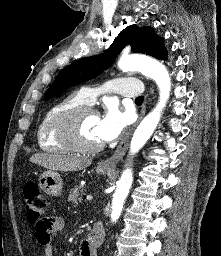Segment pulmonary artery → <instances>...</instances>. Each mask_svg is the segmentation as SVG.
<instances>
[{"instance_id":"e3ab8cb5","label":"pulmonary artery","mask_w":221,"mask_h":256,"mask_svg":"<svg viewBox=\"0 0 221 256\" xmlns=\"http://www.w3.org/2000/svg\"><path fill=\"white\" fill-rule=\"evenodd\" d=\"M104 90H111L119 95L126 97H137L142 93V84L133 78H117L108 83ZM101 89L83 87L81 95L88 104L94 103Z\"/></svg>"}]
</instances>
